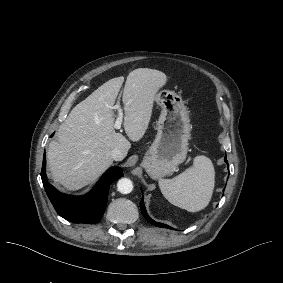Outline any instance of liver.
Wrapping results in <instances>:
<instances>
[{
  "label": "liver",
  "mask_w": 283,
  "mask_h": 283,
  "mask_svg": "<svg viewBox=\"0 0 283 283\" xmlns=\"http://www.w3.org/2000/svg\"><path fill=\"white\" fill-rule=\"evenodd\" d=\"M165 74L149 68L129 73L122 96L123 127L128 138L139 141L150 119L153 93L164 84ZM124 81H106L78 103L58 128L57 140L47 149L51 178L68 191H76L96 181L113 163L111 152L125 156L131 142L114 130L117 95Z\"/></svg>",
  "instance_id": "1"
}]
</instances>
